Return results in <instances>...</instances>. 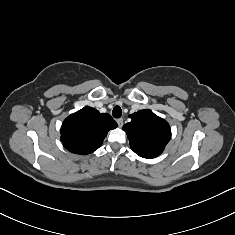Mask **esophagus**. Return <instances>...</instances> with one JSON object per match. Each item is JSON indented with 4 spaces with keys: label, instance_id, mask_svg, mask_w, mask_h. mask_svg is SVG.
Here are the masks:
<instances>
[{
    "label": "esophagus",
    "instance_id": "esophagus-1",
    "mask_svg": "<svg viewBox=\"0 0 235 235\" xmlns=\"http://www.w3.org/2000/svg\"><path fill=\"white\" fill-rule=\"evenodd\" d=\"M116 121H117V124H118L119 127L123 126V119L122 118L117 119Z\"/></svg>",
    "mask_w": 235,
    "mask_h": 235
}]
</instances>
